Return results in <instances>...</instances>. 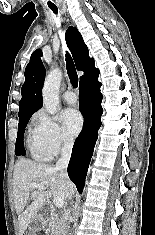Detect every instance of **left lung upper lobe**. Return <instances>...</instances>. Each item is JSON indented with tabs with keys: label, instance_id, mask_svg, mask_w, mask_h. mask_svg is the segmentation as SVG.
Listing matches in <instances>:
<instances>
[{
	"label": "left lung upper lobe",
	"instance_id": "1",
	"mask_svg": "<svg viewBox=\"0 0 155 235\" xmlns=\"http://www.w3.org/2000/svg\"><path fill=\"white\" fill-rule=\"evenodd\" d=\"M41 55H42V51L40 49H37L36 51L33 52L31 58L41 56Z\"/></svg>",
	"mask_w": 155,
	"mask_h": 235
}]
</instances>
